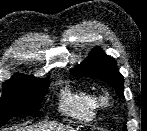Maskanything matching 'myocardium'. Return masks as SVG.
<instances>
[{
	"mask_svg": "<svg viewBox=\"0 0 147 131\" xmlns=\"http://www.w3.org/2000/svg\"><path fill=\"white\" fill-rule=\"evenodd\" d=\"M110 95L108 93H104L98 97V103L101 107H106L110 103Z\"/></svg>",
	"mask_w": 147,
	"mask_h": 131,
	"instance_id": "obj_1",
	"label": "myocardium"
}]
</instances>
